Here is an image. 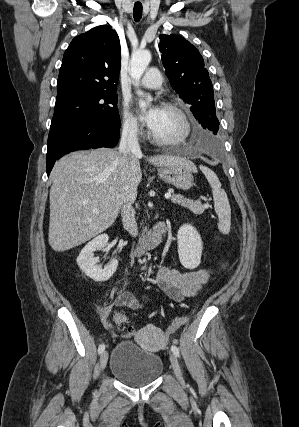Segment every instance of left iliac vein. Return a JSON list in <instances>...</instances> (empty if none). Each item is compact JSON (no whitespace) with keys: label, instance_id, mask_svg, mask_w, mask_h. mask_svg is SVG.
Listing matches in <instances>:
<instances>
[{"label":"left iliac vein","instance_id":"1","mask_svg":"<svg viewBox=\"0 0 299 427\" xmlns=\"http://www.w3.org/2000/svg\"><path fill=\"white\" fill-rule=\"evenodd\" d=\"M170 362H171V365L173 367V370H174V373H175L177 379L180 382H183L182 370H181V367L179 365L178 359H177L175 354L170 355Z\"/></svg>","mask_w":299,"mask_h":427}]
</instances>
